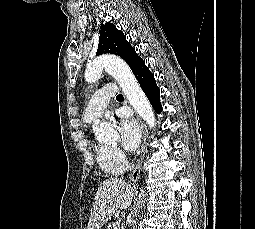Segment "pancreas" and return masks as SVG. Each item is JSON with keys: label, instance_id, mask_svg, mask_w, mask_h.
I'll return each mask as SVG.
<instances>
[{"label": "pancreas", "instance_id": "cf45deb5", "mask_svg": "<svg viewBox=\"0 0 255 229\" xmlns=\"http://www.w3.org/2000/svg\"><path fill=\"white\" fill-rule=\"evenodd\" d=\"M118 222H112L108 225L107 229H114Z\"/></svg>", "mask_w": 255, "mask_h": 229}]
</instances>
